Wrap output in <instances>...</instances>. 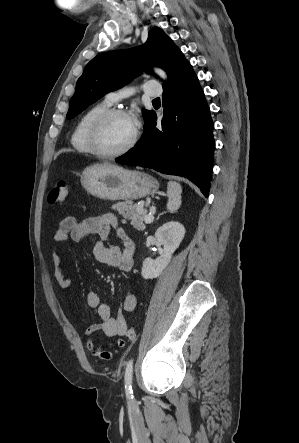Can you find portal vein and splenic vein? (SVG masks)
I'll list each match as a JSON object with an SVG mask.
<instances>
[{
	"mask_svg": "<svg viewBox=\"0 0 299 443\" xmlns=\"http://www.w3.org/2000/svg\"><path fill=\"white\" fill-rule=\"evenodd\" d=\"M146 224H151L154 221V216L152 213L148 214L144 219Z\"/></svg>",
	"mask_w": 299,
	"mask_h": 443,
	"instance_id": "obj_1",
	"label": "portal vein and splenic vein"
}]
</instances>
